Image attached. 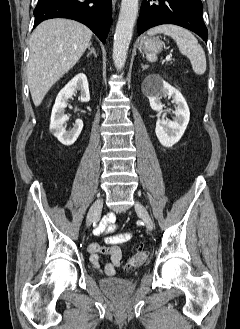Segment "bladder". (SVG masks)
Instances as JSON below:
<instances>
[{"label": "bladder", "instance_id": "31cf9c89", "mask_svg": "<svg viewBox=\"0 0 240 329\" xmlns=\"http://www.w3.org/2000/svg\"><path fill=\"white\" fill-rule=\"evenodd\" d=\"M100 286L105 292L117 297L128 295L135 287L132 281L122 277L103 279Z\"/></svg>", "mask_w": 240, "mask_h": 329}]
</instances>
